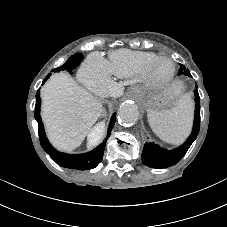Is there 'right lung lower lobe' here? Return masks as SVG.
Masks as SVG:
<instances>
[{"label": "right lung lower lobe", "instance_id": "98d812e1", "mask_svg": "<svg viewBox=\"0 0 227 227\" xmlns=\"http://www.w3.org/2000/svg\"><path fill=\"white\" fill-rule=\"evenodd\" d=\"M36 97L37 99H36V105H35V119L38 122L39 139L44 151L47 152L58 165L64 168L75 169V170H90L95 168L102 159L105 143L103 142L92 151L84 154L72 155V154H66V153L57 151L49 143L45 135L43 122L41 121V116H40L41 99H40L39 92L36 94ZM115 114L116 113H113L111 117L106 140L109 138L111 134V130L116 121Z\"/></svg>", "mask_w": 227, "mask_h": 227}]
</instances>
